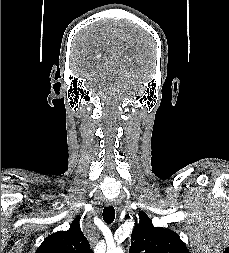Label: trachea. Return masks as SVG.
Here are the masks:
<instances>
[{
	"label": "trachea",
	"mask_w": 229,
	"mask_h": 253,
	"mask_svg": "<svg viewBox=\"0 0 229 253\" xmlns=\"http://www.w3.org/2000/svg\"><path fill=\"white\" fill-rule=\"evenodd\" d=\"M103 219L107 224H112L115 219V210L113 206L105 207L103 210Z\"/></svg>",
	"instance_id": "trachea-1"
}]
</instances>
